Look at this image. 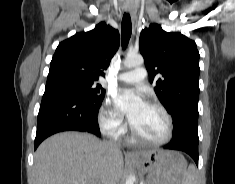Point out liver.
Masks as SVG:
<instances>
[{"instance_id":"1","label":"liver","mask_w":235,"mask_h":184,"mask_svg":"<svg viewBox=\"0 0 235 184\" xmlns=\"http://www.w3.org/2000/svg\"><path fill=\"white\" fill-rule=\"evenodd\" d=\"M153 152H140L149 156ZM124 174L123 154L81 132H61L35 152V184H116Z\"/></svg>"}]
</instances>
